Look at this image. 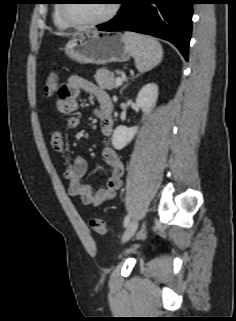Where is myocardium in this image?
I'll list each match as a JSON object with an SVG mask.
<instances>
[{"label": "myocardium", "instance_id": "myocardium-1", "mask_svg": "<svg viewBox=\"0 0 236 321\" xmlns=\"http://www.w3.org/2000/svg\"><path fill=\"white\" fill-rule=\"evenodd\" d=\"M69 3L63 2L60 5V14L64 21L68 23L70 26L77 27V28H88V27H95V26H100L103 25L110 20H112L116 14L118 13L119 10V3L117 0H114L112 2L111 8L106 16H104L101 19L95 20V21H90V22H79L74 19H72L68 13H67V6Z\"/></svg>", "mask_w": 236, "mask_h": 321}]
</instances>
